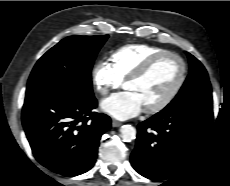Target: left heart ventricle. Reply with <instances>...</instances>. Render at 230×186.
Wrapping results in <instances>:
<instances>
[{
  "mask_svg": "<svg viewBox=\"0 0 230 186\" xmlns=\"http://www.w3.org/2000/svg\"><path fill=\"white\" fill-rule=\"evenodd\" d=\"M181 72L180 63L172 57L158 62L142 79L124 85L127 91L134 92L143 108L160 102L173 88Z\"/></svg>",
  "mask_w": 230,
  "mask_h": 186,
  "instance_id": "obj_1",
  "label": "left heart ventricle"
}]
</instances>
